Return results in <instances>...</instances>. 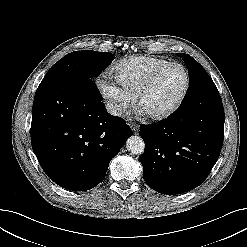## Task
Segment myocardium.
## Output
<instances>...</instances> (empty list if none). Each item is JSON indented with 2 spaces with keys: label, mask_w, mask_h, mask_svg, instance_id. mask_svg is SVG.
<instances>
[{
  "label": "myocardium",
  "mask_w": 247,
  "mask_h": 247,
  "mask_svg": "<svg viewBox=\"0 0 247 247\" xmlns=\"http://www.w3.org/2000/svg\"><path fill=\"white\" fill-rule=\"evenodd\" d=\"M172 67H179L182 69L184 76H185V84L183 87V90L181 92V94L179 95V97L177 98V100L167 109L160 111V112H146L142 109L141 107V103H142V99L145 96V94L153 87V85L155 84V82L157 81V79L159 78V76L164 73L166 70H168L169 68ZM190 88V76H189V72L186 69L185 66H183L180 63H168L158 69H156L138 88L134 98H135V103L137 108L143 112L148 118L153 119V120H163L166 119L168 117H170L171 115H173L175 112L178 111V109L182 106L188 91Z\"/></svg>",
  "instance_id": "f54148a6"
}]
</instances>
